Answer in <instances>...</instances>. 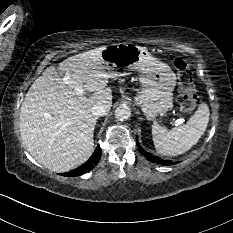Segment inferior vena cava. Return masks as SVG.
<instances>
[{
	"label": "inferior vena cava",
	"instance_id": "obj_1",
	"mask_svg": "<svg viewBox=\"0 0 233 233\" xmlns=\"http://www.w3.org/2000/svg\"><path fill=\"white\" fill-rule=\"evenodd\" d=\"M110 108V104L99 102L92 107L91 111L94 116H104L110 111Z\"/></svg>",
	"mask_w": 233,
	"mask_h": 233
}]
</instances>
